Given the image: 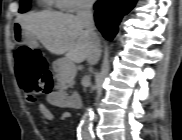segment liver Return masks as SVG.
Segmentation results:
<instances>
[{
    "instance_id": "6515ba94",
    "label": "liver",
    "mask_w": 182,
    "mask_h": 140,
    "mask_svg": "<svg viewBox=\"0 0 182 140\" xmlns=\"http://www.w3.org/2000/svg\"><path fill=\"white\" fill-rule=\"evenodd\" d=\"M24 37H35L55 55L66 54L76 63L88 58L91 42L77 16L55 11H41L18 17Z\"/></svg>"
}]
</instances>
